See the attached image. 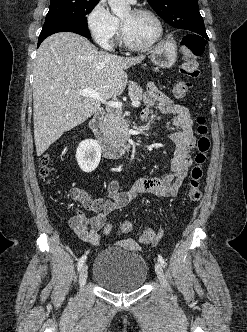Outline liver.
Listing matches in <instances>:
<instances>
[{"mask_svg":"<svg viewBox=\"0 0 247 332\" xmlns=\"http://www.w3.org/2000/svg\"><path fill=\"white\" fill-rule=\"evenodd\" d=\"M144 58L97 51L86 38L71 32L45 39L37 51L33 82L37 156L99 109L101 101L76 91L93 89L102 99L119 96L128 82L125 70Z\"/></svg>","mask_w":247,"mask_h":332,"instance_id":"6515ba94","label":"liver"}]
</instances>
